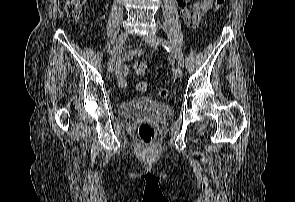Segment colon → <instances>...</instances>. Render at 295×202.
<instances>
[{"instance_id": "obj_1", "label": "colon", "mask_w": 295, "mask_h": 202, "mask_svg": "<svg viewBox=\"0 0 295 202\" xmlns=\"http://www.w3.org/2000/svg\"><path fill=\"white\" fill-rule=\"evenodd\" d=\"M226 0H214V9L219 11L225 4ZM86 0H66L65 11L68 18L72 21L80 19L83 11V7ZM134 70L137 74H144L147 71V64L142 61H138L134 64ZM148 84L145 81H141L137 84L136 89L140 92L146 91ZM159 96L166 98L169 96V91L166 88L159 90ZM138 135L144 143H151L156 136L154 127L149 123H142L138 128Z\"/></svg>"}]
</instances>
